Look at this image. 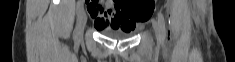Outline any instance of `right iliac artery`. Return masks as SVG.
<instances>
[{
    "label": "right iliac artery",
    "instance_id": "82829eb1",
    "mask_svg": "<svg viewBox=\"0 0 235 62\" xmlns=\"http://www.w3.org/2000/svg\"><path fill=\"white\" fill-rule=\"evenodd\" d=\"M83 10H84L83 2H82V1H79V2H78V5H77V18H78V21H79V19H80V16H81ZM77 28H78V26H77V27L75 28V30H74V36H75V34H76Z\"/></svg>",
    "mask_w": 235,
    "mask_h": 62
}]
</instances>
